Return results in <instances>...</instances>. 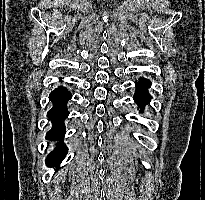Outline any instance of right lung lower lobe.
I'll use <instances>...</instances> for the list:
<instances>
[{"mask_svg": "<svg viewBox=\"0 0 205 200\" xmlns=\"http://www.w3.org/2000/svg\"><path fill=\"white\" fill-rule=\"evenodd\" d=\"M71 93L65 87H59L50 93L49 99L53 103V108L48 112L53 127L46 134V139L57 140L59 143L55 149L47 156L48 167L58 165L68 152L62 138L65 135L64 119L68 116L67 102L71 99Z\"/></svg>", "mask_w": 205, "mask_h": 200, "instance_id": "right-lung-lower-lobe-1", "label": "right lung lower lobe"}]
</instances>
